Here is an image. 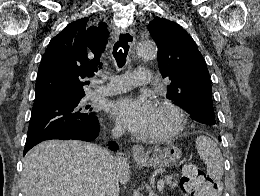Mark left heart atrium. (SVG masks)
I'll list each match as a JSON object with an SVG mask.
<instances>
[{
    "instance_id": "39dd6f15",
    "label": "left heart atrium",
    "mask_w": 260,
    "mask_h": 196,
    "mask_svg": "<svg viewBox=\"0 0 260 196\" xmlns=\"http://www.w3.org/2000/svg\"><path fill=\"white\" fill-rule=\"evenodd\" d=\"M112 114L120 126L134 134L144 135L150 131L152 125L154 104L145 97L124 96L113 103ZM96 191L113 192L115 190Z\"/></svg>"
}]
</instances>
